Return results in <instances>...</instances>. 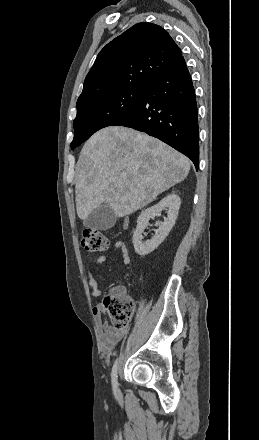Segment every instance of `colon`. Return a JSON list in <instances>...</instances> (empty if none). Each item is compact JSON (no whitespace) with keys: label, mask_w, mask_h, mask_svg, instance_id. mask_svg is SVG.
Here are the masks:
<instances>
[{"label":"colon","mask_w":259,"mask_h":440,"mask_svg":"<svg viewBox=\"0 0 259 440\" xmlns=\"http://www.w3.org/2000/svg\"><path fill=\"white\" fill-rule=\"evenodd\" d=\"M81 244L87 251L98 252L107 249L109 242L99 230L85 228L82 233ZM102 306L116 329H124L127 326L135 308L134 302L120 287H113L105 295Z\"/></svg>","instance_id":"1"}]
</instances>
